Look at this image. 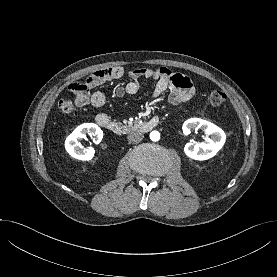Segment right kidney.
Wrapping results in <instances>:
<instances>
[{"label":"right kidney","mask_w":277,"mask_h":277,"mask_svg":"<svg viewBox=\"0 0 277 277\" xmlns=\"http://www.w3.org/2000/svg\"><path fill=\"white\" fill-rule=\"evenodd\" d=\"M86 134L93 136V142L99 144L103 138V131L94 123H84L78 126L65 141L66 151L73 157L82 161H89L94 157L95 150L92 147L82 149L79 139L85 138Z\"/></svg>","instance_id":"ca27d5eb"}]
</instances>
